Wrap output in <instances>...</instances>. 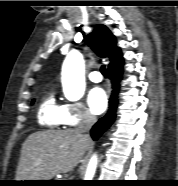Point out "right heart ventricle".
Returning <instances> with one entry per match:
<instances>
[{"mask_svg":"<svg viewBox=\"0 0 178 186\" xmlns=\"http://www.w3.org/2000/svg\"><path fill=\"white\" fill-rule=\"evenodd\" d=\"M37 119L42 127L58 130L66 124V105L60 104L51 94L39 105Z\"/></svg>","mask_w":178,"mask_h":186,"instance_id":"1","label":"right heart ventricle"}]
</instances>
